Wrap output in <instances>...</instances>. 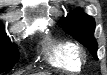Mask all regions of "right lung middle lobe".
Returning <instances> with one entry per match:
<instances>
[{
	"label": "right lung middle lobe",
	"mask_w": 107,
	"mask_h": 75,
	"mask_svg": "<svg viewBox=\"0 0 107 75\" xmlns=\"http://www.w3.org/2000/svg\"><path fill=\"white\" fill-rule=\"evenodd\" d=\"M19 53L15 44H12L4 28H0V73L6 72L12 69V67L18 62Z\"/></svg>",
	"instance_id": "1"
}]
</instances>
